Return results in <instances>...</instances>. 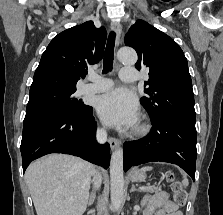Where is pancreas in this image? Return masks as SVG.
<instances>
[{
    "mask_svg": "<svg viewBox=\"0 0 223 215\" xmlns=\"http://www.w3.org/2000/svg\"><path fill=\"white\" fill-rule=\"evenodd\" d=\"M144 191H151L153 193V191H161V187H152L150 190L145 187Z\"/></svg>",
    "mask_w": 223,
    "mask_h": 215,
    "instance_id": "obj_1",
    "label": "pancreas"
}]
</instances>
